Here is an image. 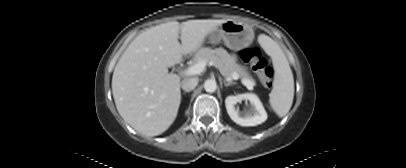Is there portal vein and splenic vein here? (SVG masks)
<instances>
[{
	"label": "portal vein and splenic vein",
	"mask_w": 406,
	"mask_h": 168,
	"mask_svg": "<svg viewBox=\"0 0 406 168\" xmlns=\"http://www.w3.org/2000/svg\"><path fill=\"white\" fill-rule=\"evenodd\" d=\"M206 65H207V62H206V61H204V60L199 61V62L196 63L195 65H193V66L189 67L188 69H186V70L184 71V74H185L186 76H191V75L200 74L201 72L204 71ZM232 79L237 80V79H238V75H237L236 73H233V74H232ZM243 84H244L248 89H250V90H252V89H253V86L255 85V84H253V83H250L249 81H244Z\"/></svg>",
	"instance_id": "portal-vein-and-splenic-vein-1"
}]
</instances>
